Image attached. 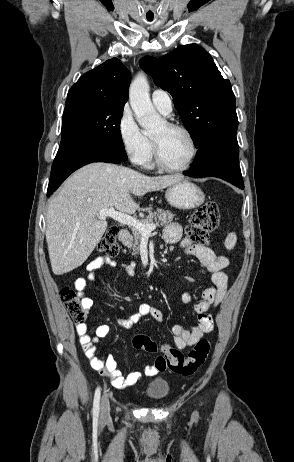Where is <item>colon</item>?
<instances>
[{"mask_svg": "<svg viewBox=\"0 0 294 462\" xmlns=\"http://www.w3.org/2000/svg\"><path fill=\"white\" fill-rule=\"evenodd\" d=\"M219 220L217 205L213 202L205 203L192 214L186 228V235L195 245L207 247L208 234L218 227ZM117 234V227L108 228L98 244V249L109 256L117 255L119 251L116 243ZM60 296L73 322L77 325L83 324L85 309L82 298L73 289L67 287L61 290ZM133 344L137 349L147 352L157 351L156 343L147 336H136ZM209 352L210 342L201 339L187 354L177 349H166L165 354L158 356L154 363L161 370L169 369L172 372L187 376L195 373L204 364Z\"/></svg>", "mask_w": 294, "mask_h": 462, "instance_id": "colon-1", "label": "colon"}]
</instances>
